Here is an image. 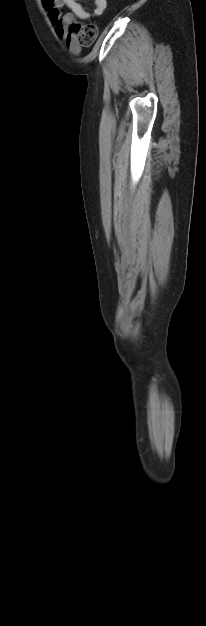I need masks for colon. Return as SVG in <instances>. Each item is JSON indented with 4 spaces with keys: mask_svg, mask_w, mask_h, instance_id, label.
I'll return each instance as SVG.
<instances>
[{
    "mask_svg": "<svg viewBox=\"0 0 206 626\" xmlns=\"http://www.w3.org/2000/svg\"><path fill=\"white\" fill-rule=\"evenodd\" d=\"M71 31L76 33L80 44L84 47L91 46L98 34V28L93 23L84 25L74 24L71 26Z\"/></svg>",
    "mask_w": 206,
    "mask_h": 626,
    "instance_id": "colon-1",
    "label": "colon"
}]
</instances>
